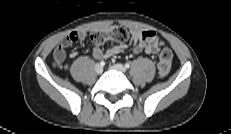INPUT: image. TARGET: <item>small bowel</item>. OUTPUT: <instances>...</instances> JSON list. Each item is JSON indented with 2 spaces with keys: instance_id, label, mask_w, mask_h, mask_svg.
<instances>
[{
  "instance_id": "obj_1",
  "label": "small bowel",
  "mask_w": 231,
  "mask_h": 134,
  "mask_svg": "<svg viewBox=\"0 0 231 134\" xmlns=\"http://www.w3.org/2000/svg\"><path fill=\"white\" fill-rule=\"evenodd\" d=\"M110 29L105 32L108 33ZM131 43L118 44L110 46L106 49L95 46L92 51V56L95 59L110 58L114 55L131 51L134 55L145 52L147 55L156 54L162 46L156 33L151 30L131 29L129 31ZM88 37V32L85 30L74 31L67 35L60 44L55 48L53 56L58 64H64L66 59V49L72 46L76 41H84ZM69 56L75 58L78 56L77 51H71Z\"/></svg>"
}]
</instances>
